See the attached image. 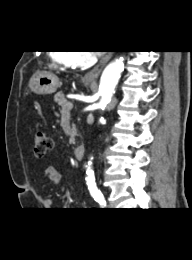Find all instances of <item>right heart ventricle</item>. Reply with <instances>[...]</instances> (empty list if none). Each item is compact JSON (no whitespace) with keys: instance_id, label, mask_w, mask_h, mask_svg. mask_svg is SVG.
Wrapping results in <instances>:
<instances>
[{"instance_id":"e07e8e85","label":"right heart ventricle","mask_w":192,"mask_h":260,"mask_svg":"<svg viewBox=\"0 0 192 260\" xmlns=\"http://www.w3.org/2000/svg\"><path fill=\"white\" fill-rule=\"evenodd\" d=\"M52 58L58 64H61L66 67H72V63L70 60V53L66 51H57L52 55Z\"/></svg>"}]
</instances>
